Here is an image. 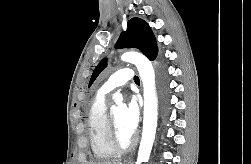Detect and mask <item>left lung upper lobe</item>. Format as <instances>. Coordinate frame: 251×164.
I'll list each match as a JSON object with an SVG mask.
<instances>
[{"mask_svg": "<svg viewBox=\"0 0 251 164\" xmlns=\"http://www.w3.org/2000/svg\"><path fill=\"white\" fill-rule=\"evenodd\" d=\"M134 48L143 52L150 60H155L158 48L154 34L149 25L140 18H132L127 23V30L122 32L116 48ZM107 66V60L104 58L95 68L89 86L92 85L99 73Z\"/></svg>", "mask_w": 251, "mask_h": 164, "instance_id": "obj_1", "label": "left lung upper lobe"}]
</instances>
